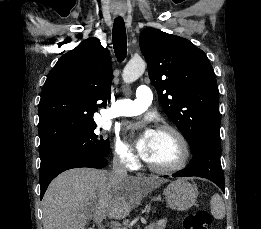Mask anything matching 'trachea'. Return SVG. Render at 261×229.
Instances as JSON below:
<instances>
[{"label": "trachea", "mask_w": 261, "mask_h": 229, "mask_svg": "<svg viewBox=\"0 0 261 229\" xmlns=\"http://www.w3.org/2000/svg\"><path fill=\"white\" fill-rule=\"evenodd\" d=\"M112 35L114 52L117 59L121 62L127 54L126 28L122 17L115 18Z\"/></svg>", "instance_id": "obj_1"}]
</instances>
